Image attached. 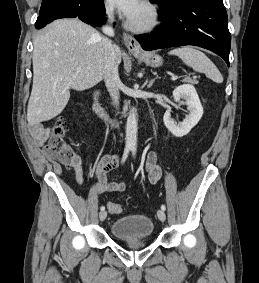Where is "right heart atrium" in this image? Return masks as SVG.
Listing matches in <instances>:
<instances>
[{
    "label": "right heart atrium",
    "instance_id": "right-heart-atrium-1",
    "mask_svg": "<svg viewBox=\"0 0 259 283\" xmlns=\"http://www.w3.org/2000/svg\"><path fill=\"white\" fill-rule=\"evenodd\" d=\"M102 13L105 15H111L113 12L112 6L108 2V0H104L101 5Z\"/></svg>",
    "mask_w": 259,
    "mask_h": 283
}]
</instances>
